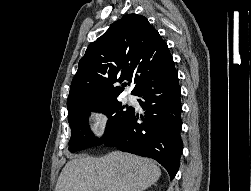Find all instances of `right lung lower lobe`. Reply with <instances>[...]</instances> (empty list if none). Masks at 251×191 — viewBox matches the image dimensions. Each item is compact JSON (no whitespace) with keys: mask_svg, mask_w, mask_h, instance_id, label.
<instances>
[{"mask_svg":"<svg viewBox=\"0 0 251 191\" xmlns=\"http://www.w3.org/2000/svg\"><path fill=\"white\" fill-rule=\"evenodd\" d=\"M180 94L177 72L161 84L142 90L137 95L143 99L138 101L145 110L142 123H137L139 115L133 110L128 120L104 140L105 145L155 159L172 180L183 150Z\"/></svg>","mask_w":251,"mask_h":191,"instance_id":"1","label":"right lung lower lobe"}]
</instances>
